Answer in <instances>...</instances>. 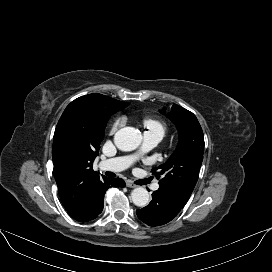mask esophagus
Here are the masks:
<instances>
[{
    "label": "esophagus",
    "instance_id": "obj_1",
    "mask_svg": "<svg viewBox=\"0 0 272 272\" xmlns=\"http://www.w3.org/2000/svg\"><path fill=\"white\" fill-rule=\"evenodd\" d=\"M126 186L129 187V188H135L136 187V184H134L132 181L130 180H127L126 181Z\"/></svg>",
    "mask_w": 272,
    "mask_h": 272
}]
</instances>
